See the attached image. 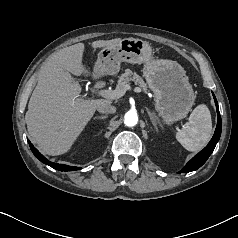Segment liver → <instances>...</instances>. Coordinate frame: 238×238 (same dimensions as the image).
Segmentation results:
<instances>
[{
  "label": "liver",
  "mask_w": 238,
  "mask_h": 238,
  "mask_svg": "<svg viewBox=\"0 0 238 238\" xmlns=\"http://www.w3.org/2000/svg\"><path fill=\"white\" fill-rule=\"evenodd\" d=\"M122 39L98 40L94 49L113 46ZM85 45L77 43L53 53L41 68L25 115L28 132L46 154L66 153L94 115L98 106L111 99L80 98L81 87L71 74L88 76L82 64Z\"/></svg>",
  "instance_id": "1"
}]
</instances>
